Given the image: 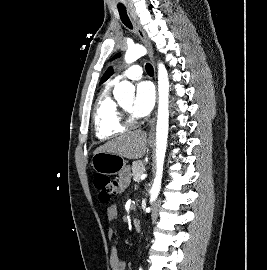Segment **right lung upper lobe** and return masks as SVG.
<instances>
[{"mask_svg": "<svg viewBox=\"0 0 267 270\" xmlns=\"http://www.w3.org/2000/svg\"><path fill=\"white\" fill-rule=\"evenodd\" d=\"M113 73V69L110 67L107 69V71L105 72V74L103 75L101 82L103 83L104 81H106L108 79V77Z\"/></svg>", "mask_w": 267, "mask_h": 270, "instance_id": "cb5924a9", "label": "right lung upper lobe"}]
</instances>
